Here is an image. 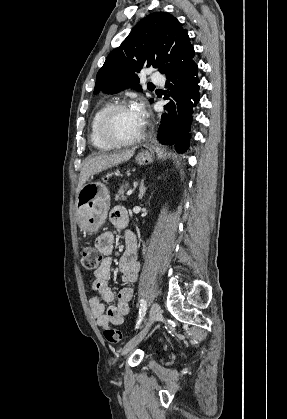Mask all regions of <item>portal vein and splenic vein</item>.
Returning <instances> with one entry per match:
<instances>
[{"label":"portal vein and splenic vein","mask_w":287,"mask_h":419,"mask_svg":"<svg viewBox=\"0 0 287 419\" xmlns=\"http://www.w3.org/2000/svg\"><path fill=\"white\" fill-rule=\"evenodd\" d=\"M133 189L128 190L127 195L130 196L133 193Z\"/></svg>","instance_id":"portal-vein-and-splenic-vein-1"}]
</instances>
